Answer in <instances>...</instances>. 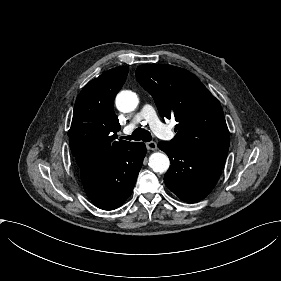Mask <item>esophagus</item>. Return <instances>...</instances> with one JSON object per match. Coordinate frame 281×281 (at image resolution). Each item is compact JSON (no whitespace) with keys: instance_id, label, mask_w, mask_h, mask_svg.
<instances>
[{"instance_id":"1","label":"esophagus","mask_w":281,"mask_h":281,"mask_svg":"<svg viewBox=\"0 0 281 281\" xmlns=\"http://www.w3.org/2000/svg\"><path fill=\"white\" fill-rule=\"evenodd\" d=\"M146 148L148 150H156L157 149V144L154 141L147 142L146 143Z\"/></svg>"}]
</instances>
